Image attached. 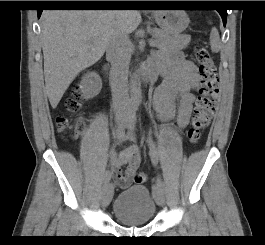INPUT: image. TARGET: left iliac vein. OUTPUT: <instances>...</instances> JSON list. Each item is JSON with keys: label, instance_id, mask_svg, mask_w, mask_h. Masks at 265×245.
I'll return each instance as SVG.
<instances>
[{"label": "left iliac vein", "instance_id": "obj_1", "mask_svg": "<svg viewBox=\"0 0 265 245\" xmlns=\"http://www.w3.org/2000/svg\"><path fill=\"white\" fill-rule=\"evenodd\" d=\"M135 126V121H130L127 124V130H128V134L132 135L133 134V129ZM154 198L156 203L159 206H164L165 205V195H164V190L163 189H158L155 193H154Z\"/></svg>", "mask_w": 265, "mask_h": 245}]
</instances>
